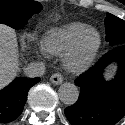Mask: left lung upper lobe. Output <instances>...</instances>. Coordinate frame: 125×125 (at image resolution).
I'll list each match as a JSON object with an SVG mask.
<instances>
[{"label":"left lung upper lobe","instance_id":"obj_1","mask_svg":"<svg viewBox=\"0 0 125 125\" xmlns=\"http://www.w3.org/2000/svg\"><path fill=\"white\" fill-rule=\"evenodd\" d=\"M106 41L111 46L125 45V21L107 13L105 18Z\"/></svg>","mask_w":125,"mask_h":125}]
</instances>
